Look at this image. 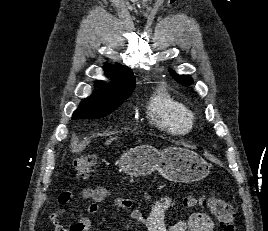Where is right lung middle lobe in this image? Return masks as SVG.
Masks as SVG:
<instances>
[{"mask_svg":"<svg viewBox=\"0 0 268 231\" xmlns=\"http://www.w3.org/2000/svg\"><path fill=\"white\" fill-rule=\"evenodd\" d=\"M123 102L117 104L88 103L79 106L73 113L72 119L102 118L118 108Z\"/></svg>","mask_w":268,"mask_h":231,"instance_id":"obj_1","label":"right lung middle lobe"}]
</instances>
